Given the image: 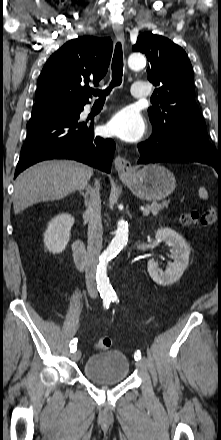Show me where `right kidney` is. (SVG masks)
<instances>
[{"mask_svg": "<svg viewBox=\"0 0 221 440\" xmlns=\"http://www.w3.org/2000/svg\"><path fill=\"white\" fill-rule=\"evenodd\" d=\"M73 224L74 218L69 214L57 215L48 223L44 244L49 252L58 254L65 250Z\"/></svg>", "mask_w": 221, "mask_h": 440, "instance_id": "obj_1", "label": "right kidney"}]
</instances>
